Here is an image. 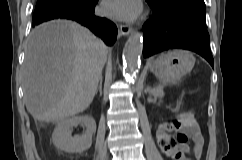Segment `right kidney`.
I'll list each match as a JSON object with an SVG mask.
<instances>
[{
  "mask_svg": "<svg viewBox=\"0 0 242 160\" xmlns=\"http://www.w3.org/2000/svg\"><path fill=\"white\" fill-rule=\"evenodd\" d=\"M81 124L86 127L81 136L72 137L70 128ZM96 131V122L92 116H75L59 122L52 134L54 145L65 152L82 153L92 145V136Z\"/></svg>",
  "mask_w": 242,
  "mask_h": 160,
  "instance_id": "obj_1",
  "label": "right kidney"
}]
</instances>
